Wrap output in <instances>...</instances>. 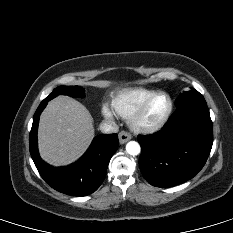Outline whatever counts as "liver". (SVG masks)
Instances as JSON below:
<instances>
[{"label":"liver","instance_id":"obj_1","mask_svg":"<svg viewBox=\"0 0 233 233\" xmlns=\"http://www.w3.org/2000/svg\"><path fill=\"white\" fill-rule=\"evenodd\" d=\"M93 137L91 114L73 98L59 96L51 100L40 116L39 152L51 165L74 162L87 150Z\"/></svg>","mask_w":233,"mask_h":233}]
</instances>
